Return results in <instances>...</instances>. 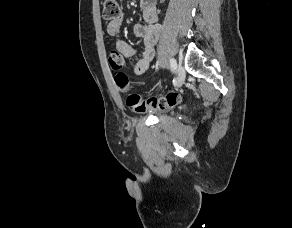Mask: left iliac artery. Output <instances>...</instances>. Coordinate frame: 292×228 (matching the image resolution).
I'll list each match as a JSON object with an SVG mask.
<instances>
[{
	"label": "left iliac artery",
	"mask_w": 292,
	"mask_h": 228,
	"mask_svg": "<svg viewBox=\"0 0 292 228\" xmlns=\"http://www.w3.org/2000/svg\"><path fill=\"white\" fill-rule=\"evenodd\" d=\"M170 66H171L172 71H175L177 67V62L174 58H170Z\"/></svg>",
	"instance_id": "left-iliac-artery-1"
}]
</instances>
